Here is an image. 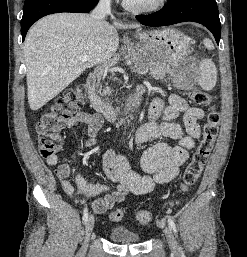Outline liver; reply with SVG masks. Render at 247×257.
<instances>
[{"instance_id":"liver-1","label":"liver","mask_w":247,"mask_h":257,"mask_svg":"<svg viewBox=\"0 0 247 257\" xmlns=\"http://www.w3.org/2000/svg\"><path fill=\"white\" fill-rule=\"evenodd\" d=\"M138 24L97 21L88 14L56 13L40 19L24 43L28 103L36 111L85 69L110 59L119 47L117 29ZM87 55L88 61H79Z\"/></svg>"}]
</instances>
